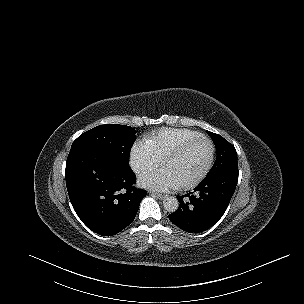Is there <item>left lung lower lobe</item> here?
<instances>
[{
  "label": "left lung lower lobe",
  "instance_id": "1",
  "mask_svg": "<svg viewBox=\"0 0 304 304\" xmlns=\"http://www.w3.org/2000/svg\"><path fill=\"white\" fill-rule=\"evenodd\" d=\"M238 168H231L204 178L185 196H178L177 211L169 215L170 221L189 233H198L212 227L225 213L236 189Z\"/></svg>",
  "mask_w": 304,
  "mask_h": 304
}]
</instances>
